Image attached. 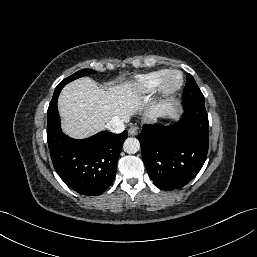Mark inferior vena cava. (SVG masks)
I'll return each mask as SVG.
<instances>
[{"label": "inferior vena cava", "instance_id": "602c4592", "mask_svg": "<svg viewBox=\"0 0 257 257\" xmlns=\"http://www.w3.org/2000/svg\"><path fill=\"white\" fill-rule=\"evenodd\" d=\"M105 128L113 133H121L125 130L124 121L118 116H114L109 122L106 123Z\"/></svg>", "mask_w": 257, "mask_h": 257}]
</instances>
